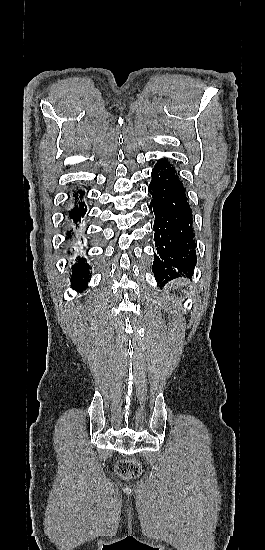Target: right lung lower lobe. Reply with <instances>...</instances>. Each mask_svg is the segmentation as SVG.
Wrapping results in <instances>:
<instances>
[{
	"mask_svg": "<svg viewBox=\"0 0 265 550\" xmlns=\"http://www.w3.org/2000/svg\"><path fill=\"white\" fill-rule=\"evenodd\" d=\"M80 198L83 196V192L80 191ZM75 198L77 197V194L74 195ZM86 212V205L83 202H78L74 204V207L69 211V217L73 220V223L76 224V229L78 226V222L81 220V217ZM89 281V272H88V264H85L84 259H79L78 262L72 266V277H71V284L74 289L77 291H83V289L87 286V283Z\"/></svg>",
	"mask_w": 265,
	"mask_h": 550,
	"instance_id": "right-lung-lower-lobe-1",
	"label": "right lung lower lobe"
}]
</instances>
